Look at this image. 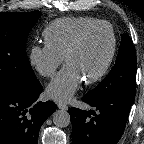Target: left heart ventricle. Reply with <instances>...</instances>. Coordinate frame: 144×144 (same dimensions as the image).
Segmentation results:
<instances>
[{"label": "left heart ventricle", "instance_id": "1", "mask_svg": "<svg viewBox=\"0 0 144 144\" xmlns=\"http://www.w3.org/2000/svg\"><path fill=\"white\" fill-rule=\"evenodd\" d=\"M112 36L106 26L91 31L67 64L73 66L82 79L95 75L104 65L111 49Z\"/></svg>", "mask_w": 144, "mask_h": 144}]
</instances>
